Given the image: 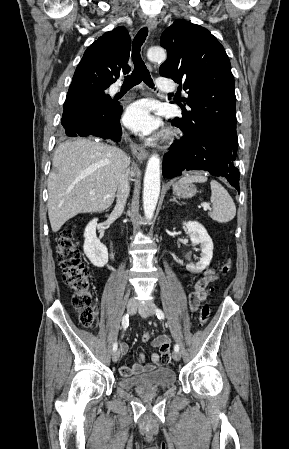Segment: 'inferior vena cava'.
<instances>
[{
	"instance_id": "obj_1",
	"label": "inferior vena cava",
	"mask_w": 289,
	"mask_h": 449,
	"mask_svg": "<svg viewBox=\"0 0 289 449\" xmlns=\"http://www.w3.org/2000/svg\"><path fill=\"white\" fill-rule=\"evenodd\" d=\"M129 173H130L129 169L126 168L124 172L121 174L119 179L117 190V202L115 206V211L118 212L119 214L123 212L130 192Z\"/></svg>"
}]
</instances>
